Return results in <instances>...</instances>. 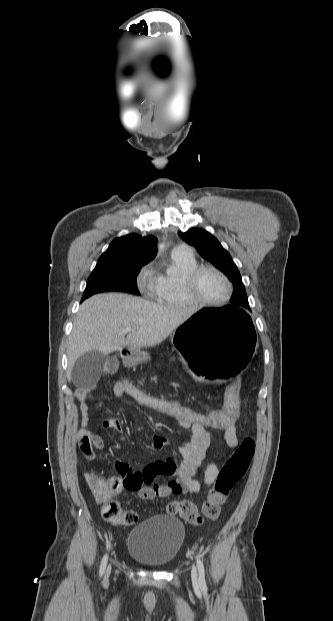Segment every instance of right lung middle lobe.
Masks as SVG:
<instances>
[{
	"instance_id": "1",
	"label": "right lung middle lobe",
	"mask_w": 333,
	"mask_h": 621,
	"mask_svg": "<svg viewBox=\"0 0 333 621\" xmlns=\"http://www.w3.org/2000/svg\"><path fill=\"white\" fill-rule=\"evenodd\" d=\"M144 265L139 262L97 263L87 281L82 301L93 294L110 290L139 295L136 276Z\"/></svg>"
}]
</instances>
